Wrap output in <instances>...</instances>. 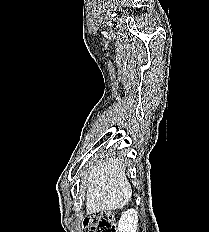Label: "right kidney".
Segmentation results:
<instances>
[{
    "instance_id": "1",
    "label": "right kidney",
    "mask_w": 209,
    "mask_h": 232,
    "mask_svg": "<svg viewBox=\"0 0 209 232\" xmlns=\"http://www.w3.org/2000/svg\"><path fill=\"white\" fill-rule=\"evenodd\" d=\"M138 227V216L135 209H129L125 211L119 222L118 231L119 232H136Z\"/></svg>"
}]
</instances>
